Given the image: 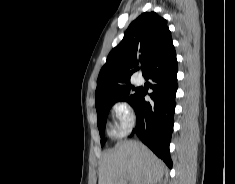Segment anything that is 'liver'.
<instances>
[{
    "mask_svg": "<svg viewBox=\"0 0 235 184\" xmlns=\"http://www.w3.org/2000/svg\"><path fill=\"white\" fill-rule=\"evenodd\" d=\"M164 164L146 146L123 140L108 150L101 160L99 184H157L164 174Z\"/></svg>",
    "mask_w": 235,
    "mask_h": 184,
    "instance_id": "1",
    "label": "liver"
}]
</instances>
